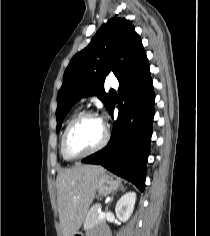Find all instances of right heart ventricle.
<instances>
[{
  "label": "right heart ventricle",
  "mask_w": 210,
  "mask_h": 236,
  "mask_svg": "<svg viewBox=\"0 0 210 236\" xmlns=\"http://www.w3.org/2000/svg\"><path fill=\"white\" fill-rule=\"evenodd\" d=\"M74 118V116L67 122V125L69 124V122L72 120ZM67 125H66V127H67ZM66 127H65V129H66ZM65 129H64V131H65ZM64 131H63V134H64ZM63 134H62V137H63ZM61 142H62V138H61ZM61 153H62V151H61ZM62 156H63V154H62ZM64 157V156H63ZM65 158V157H64Z\"/></svg>",
  "instance_id": "e07e8e85"
}]
</instances>
